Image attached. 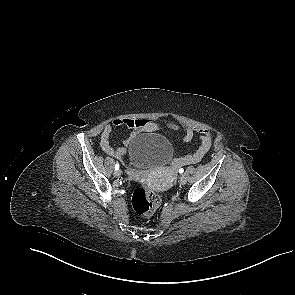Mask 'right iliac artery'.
I'll list each match as a JSON object with an SVG mask.
<instances>
[{"mask_svg":"<svg viewBox=\"0 0 295 295\" xmlns=\"http://www.w3.org/2000/svg\"><path fill=\"white\" fill-rule=\"evenodd\" d=\"M119 169V164L117 163L116 165H115V170H118Z\"/></svg>","mask_w":295,"mask_h":295,"instance_id":"obj_1","label":"right iliac artery"}]
</instances>
